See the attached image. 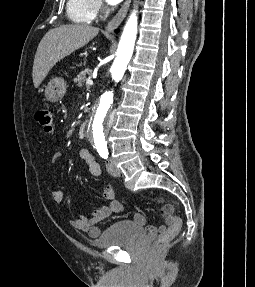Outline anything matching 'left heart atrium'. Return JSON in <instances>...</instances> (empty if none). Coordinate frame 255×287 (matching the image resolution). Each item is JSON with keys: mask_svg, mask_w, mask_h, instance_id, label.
Returning <instances> with one entry per match:
<instances>
[{"mask_svg": "<svg viewBox=\"0 0 255 287\" xmlns=\"http://www.w3.org/2000/svg\"><path fill=\"white\" fill-rule=\"evenodd\" d=\"M75 33H85V32H75ZM75 39H85V38H75Z\"/></svg>", "mask_w": 255, "mask_h": 287, "instance_id": "1", "label": "left heart atrium"}]
</instances>
